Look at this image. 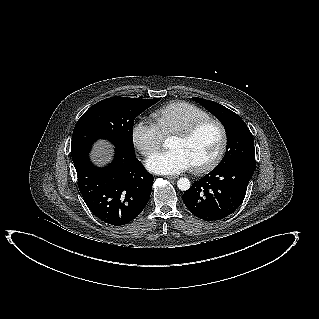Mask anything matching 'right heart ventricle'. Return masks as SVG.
Segmentation results:
<instances>
[{"mask_svg": "<svg viewBox=\"0 0 319 319\" xmlns=\"http://www.w3.org/2000/svg\"><path fill=\"white\" fill-rule=\"evenodd\" d=\"M207 117L209 114L206 111L184 101L171 102L151 114L152 123L162 137L169 136L191 123Z\"/></svg>", "mask_w": 319, "mask_h": 319, "instance_id": "1", "label": "right heart ventricle"}]
</instances>
